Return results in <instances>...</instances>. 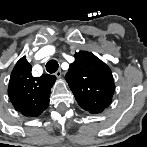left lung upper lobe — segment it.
I'll use <instances>...</instances> for the list:
<instances>
[{
  "label": "left lung upper lobe",
  "mask_w": 147,
  "mask_h": 147,
  "mask_svg": "<svg viewBox=\"0 0 147 147\" xmlns=\"http://www.w3.org/2000/svg\"><path fill=\"white\" fill-rule=\"evenodd\" d=\"M66 81L79 106L91 114L101 113L112 101L115 85L111 70L90 52L75 53Z\"/></svg>",
  "instance_id": "5c2ea615"
}]
</instances>
